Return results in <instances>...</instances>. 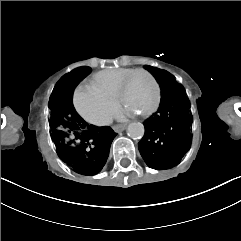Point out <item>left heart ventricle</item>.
<instances>
[{
	"label": "left heart ventricle",
	"mask_w": 241,
	"mask_h": 241,
	"mask_svg": "<svg viewBox=\"0 0 241 241\" xmlns=\"http://www.w3.org/2000/svg\"><path fill=\"white\" fill-rule=\"evenodd\" d=\"M157 92L154 91V85L145 78V74L141 78L129 81L123 91L126 109L134 114H141L151 106Z\"/></svg>",
	"instance_id": "obj_1"
}]
</instances>
